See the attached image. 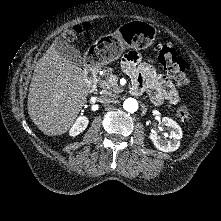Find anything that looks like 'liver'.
Listing matches in <instances>:
<instances>
[{
	"label": "liver",
	"mask_w": 221,
	"mask_h": 221,
	"mask_svg": "<svg viewBox=\"0 0 221 221\" xmlns=\"http://www.w3.org/2000/svg\"><path fill=\"white\" fill-rule=\"evenodd\" d=\"M55 42L35 66L27 101L32 122L49 136L66 133L88 97L83 70L61 57Z\"/></svg>",
	"instance_id": "liver-1"
}]
</instances>
